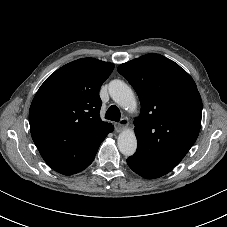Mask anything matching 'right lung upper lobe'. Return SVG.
<instances>
[{
  "label": "right lung upper lobe",
  "mask_w": 227,
  "mask_h": 227,
  "mask_svg": "<svg viewBox=\"0 0 227 227\" xmlns=\"http://www.w3.org/2000/svg\"><path fill=\"white\" fill-rule=\"evenodd\" d=\"M114 69L110 62L83 58L50 75L29 110L30 131L42 158L55 171L83 170L113 126L103 122L99 90Z\"/></svg>",
  "instance_id": "1"
}]
</instances>
